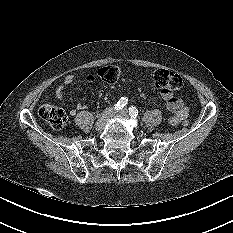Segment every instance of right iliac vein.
Instances as JSON below:
<instances>
[{"label": "right iliac vein", "instance_id": "63e3f726", "mask_svg": "<svg viewBox=\"0 0 233 233\" xmlns=\"http://www.w3.org/2000/svg\"><path fill=\"white\" fill-rule=\"evenodd\" d=\"M113 113L114 110L112 108H107L105 111H103L95 124V130L98 132L102 131L107 121L112 117Z\"/></svg>", "mask_w": 233, "mask_h": 233}]
</instances>
